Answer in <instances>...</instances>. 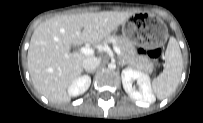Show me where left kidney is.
<instances>
[{
	"instance_id": "obj_1",
	"label": "left kidney",
	"mask_w": 203,
	"mask_h": 123,
	"mask_svg": "<svg viewBox=\"0 0 203 123\" xmlns=\"http://www.w3.org/2000/svg\"><path fill=\"white\" fill-rule=\"evenodd\" d=\"M121 77L123 88L130 98L148 104L155 102L151 80L147 74L133 68H125L122 70ZM134 80H136L139 90L133 88L132 83Z\"/></svg>"
}]
</instances>
